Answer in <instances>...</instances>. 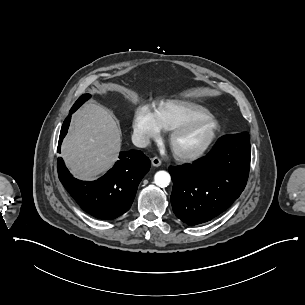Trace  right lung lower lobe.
<instances>
[{"label":"right lung lower lobe","mask_w":305,"mask_h":305,"mask_svg":"<svg viewBox=\"0 0 305 305\" xmlns=\"http://www.w3.org/2000/svg\"><path fill=\"white\" fill-rule=\"evenodd\" d=\"M79 106L75 103L60 132L58 152L71 120ZM116 164L103 177L87 182L74 178L61 159L57 161L58 176L78 205L98 219H115L129 210L141 179L151 162L139 150L121 152Z\"/></svg>","instance_id":"right-lung-lower-lobe-1"}]
</instances>
